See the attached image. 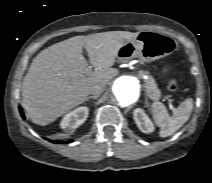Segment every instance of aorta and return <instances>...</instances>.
I'll use <instances>...</instances> for the list:
<instances>
[{
	"label": "aorta",
	"mask_w": 212,
	"mask_h": 183,
	"mask_svg": "<svg viewBox=\"0 0 212 183\" xmlns=\"http://www.w3.org/2000/svg\"><path fill=\"white\" fill-rule=\"evenodd\" d=\"M141 93L139 81L132 76H121L117 78L112 86L114 101L123 107L134 104Z\"/></svg>",
	"instance_id": "aorta-1"
}]
</instances>
